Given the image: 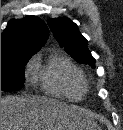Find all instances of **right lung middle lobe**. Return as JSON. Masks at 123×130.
Returning <instances> with one entry per match:
<instances>
[{
    "label": "right lung middle lobe",
    "instance_id": "right-lung-middle-lobe-1",
    "mask_svg": "<svg viewBox=\"0 0 123 130\" xmlns=\"http://www.w3.org/2000/svg\"><path fill=\"white\" fill-rule=\"evenodd\" d=\"M33 54L1 58V91H18L24 86V66Z\"/></svg>",
    "mask_w": 123,
    "mask_h": 130
}]
</instances>
